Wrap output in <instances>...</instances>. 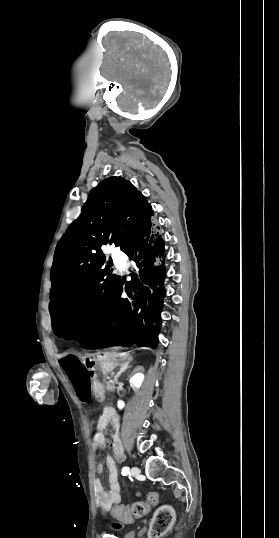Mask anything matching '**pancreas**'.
<instances>
[{
    "label": "pancreas",
    "mask_w": 279,
    "mask_h": 538,
    "mask_svg": "<svg viewBox=\"0 0 279 538\" xmlns=\"http://www.w3.org/2000/svg\"><path fill=\"white\" fill-rule=\"evenodd\" d=\"M114 387H115L114 380H109L106 387V392L113 393L115 391Z\"/></svg>",
    "instance_id": "obj_1"
}]
</instances>
